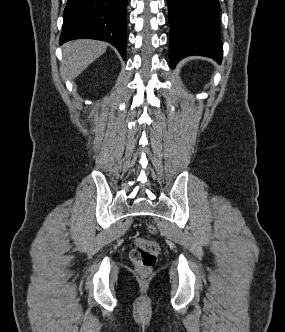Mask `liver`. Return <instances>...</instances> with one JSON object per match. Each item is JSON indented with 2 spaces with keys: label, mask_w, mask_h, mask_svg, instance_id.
<instances>
[{
  "label": "liver",
  "mask_w": 285,
  "mask_h": 332,
  "mask_svg": "<svg viewBox=\"0 0 285 332\" xmlns=\"http://www.w3.org/2000/svg\"><path fill=\"white\" fill-rule=\"evenodd\" d=\"M102 41L80 39L63 45L62 73L67 79L79 76L93 61L106 52Z\"/></svg>",
  "instance_id": "6515ba94"
}]
</instances>
